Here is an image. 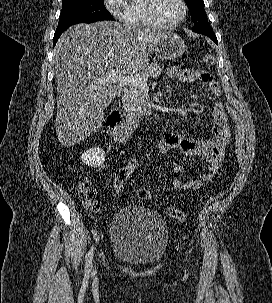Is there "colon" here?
Returning a JSON list of instances; mask_svg holds the SVG:
<instances>
[{
  "label": "colon",
  "mask_w": 272,
  "mask_h": 303,
  "mask_svg": "<svg viewBox=\"0 0 272 303\" xmlns=\"http://www.w3.org/2000/svg\"><path fill=\"white\" fill-rule=\"evenodd\" d=\"M215 61V58L211 54H206L203 56V62L206 65H212ZM229 114L236 124V144H235V160L236 162H241L244 157V123L239 114L233 109H228ZM149 161V157L147 155L135 156L127 161L124 165L119 167L113 179V188L117 195H120L123 191L124 184L129 179L131 174L136 171L138 168L146 166ZM94 190L87 184V182L82 181L79 184V197L81 201L87 206L91 211H95L97 209V204L94 201ZM137 197L142 201H150L151 193L146 188H139L136 191ZM167 215L175 220L180 222H184L186 220L185 213L176 208V207H168Z\"/></svg>",
  "instance_id": "5ec220e1"
}]
</instances>
